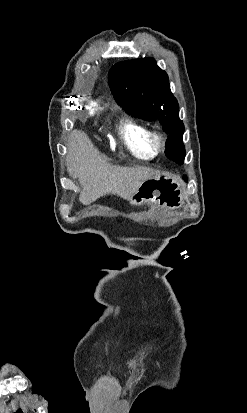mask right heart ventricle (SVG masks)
<instances>
[{
	"label": "right heart ventricle",
	"mask_w": 247,
	"mask_h": 413,
	"mask_svg": "<svg viewBox=\"0 0 247 413\" xmlns=\"http://www.w3.org/2000/svg\"><path fill=\"white\" fill-rule=\"evenodd\" d=\"M146 129L132 121H125L119 129L120 136L130 150L138 159L152 160L157 156L146 144Z\"/></svg>",
	"instance_id": "right-heart-ventricle-1"
}]
</instances>
